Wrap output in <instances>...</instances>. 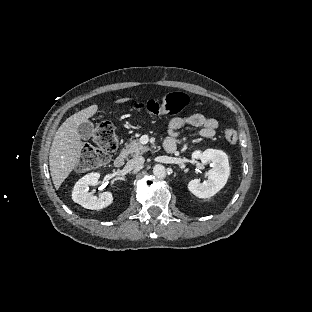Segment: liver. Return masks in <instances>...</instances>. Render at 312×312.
<instances>
[{"label":"liver","instance_id":"6515ba94","mask_svg":"<svg viewBox=\"0 0 312 312\" xmlns=\"http://www.w3.org/2000/svg\"><path fill=\"white\" fill-rule=\"evenodd\" d=\"M132 99V97L119 98L112 104H123ZM98 110V104L81 109L67 118L56 131L49 153V168L56 190L60 189L81 157L82 137L78 133V126L87 122Z\"/></svg>","mask_w":312,"mask_h":312}]
</instances>
